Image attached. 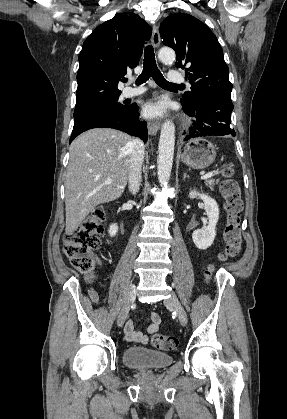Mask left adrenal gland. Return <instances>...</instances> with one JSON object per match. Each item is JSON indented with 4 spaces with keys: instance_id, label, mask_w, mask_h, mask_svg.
Segmentation results:
<instances>
[{
    "instance_id": "left-adrenal-gland-1",
    "label": "left adrenal gland",
    "mask_w": 287,
    "mask_h": 419,
    "mask_svg": "<svg viewBox=\"0 0 287 419\" xmlns=\"http://www.w3.org/2000/svg\"><path fill=\"white\" fill-rule=\"evenodd\" d=\"M189 176L186 174V173H184V176H183V180H185L186 178H188Z\"/></svg>"
}]
</instances>
